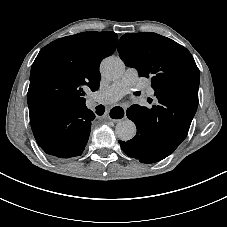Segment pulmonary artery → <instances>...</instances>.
<instances>
[{"instance_id":"obj_1","label":"pulmonary artery","mask_w":227,"mask_h":227,"mask_svg":"<svg viewBox=\"0 0 227 227\" xmlns=\"http://www.w3.org/2000/svg\"><path fill=\"white\" fill-rule=\"evenodd\" d=\"M134 86L138 91L149 93L151 96L154 94L153 83L145 78H139L137 69L128 68L118 80L110 86L96 91L92 98L100 104L110 105L119 101Z\"/></svg>"}]
</instances>
